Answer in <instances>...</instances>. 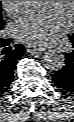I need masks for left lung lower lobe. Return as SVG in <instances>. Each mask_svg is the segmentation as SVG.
<instances>
[{"label": "left lung lower lobe", "instance_id": "0a47b994", "mask_svg": "<svg viewBox=\"0 0 74 122\" xmlns=\"http://www.w3.org/2000/svg\"><path fill=\"white\" fill-rule=\"evenodd\" d=\"M70 41L74 47V36L70 38ZM52 81L60 91L74 93V51L66 54L65 66L52 74Z\"/></svg>", "mask_w": 74, "mask_h": 122}]
</instances>
